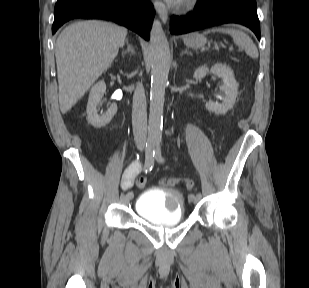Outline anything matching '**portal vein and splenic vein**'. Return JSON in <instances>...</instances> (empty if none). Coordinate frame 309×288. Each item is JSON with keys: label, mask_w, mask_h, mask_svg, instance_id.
Returning <instances> with one entry per match:
<instances>
[{"label": "portal vein and splenic vein", "mask_w": 309, "mask_h": 288, "mask_svg": "<svg viewBox=\"0 0 309 288\" xmlns=\"http://www.w3.org/2000/svg\"><path fill=\"white\" fill-rule=\"evenodd\" d=\"M232 49H233L232 47L229 48V50H232Z\"/></svg>", "instance_id": "18ae733b"}]
</instances>
